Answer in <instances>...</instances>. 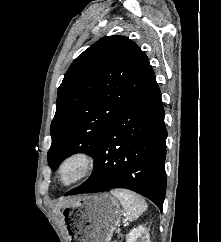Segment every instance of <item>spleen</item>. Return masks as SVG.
Returning <instances> with one entry per match:
<instances>
[{
  "mask_svg": "<svg viewBox=\"0 0 221 242\" xmlns=\"http://www.w3.org/2000/svg\"><path fill=\"white\" fill-rule=\"evenodd\" d=\"M111 194L120 201L126 212V218L129 221L138 219L147 209V203L144 198L132 191L113 189L111 190Z\"/></svg>",
  "mask_w": 221,
  "mask_h": 242,
  "instance_id": "obj_1",
  "label": "spleen"
}]
</instances>
